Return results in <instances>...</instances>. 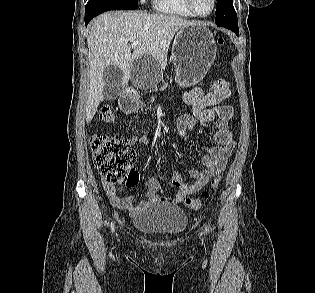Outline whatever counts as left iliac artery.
<instances>
[{
  "instance_id": "1",
  "label": "left iliac artery",
  "mask_w": 315,
  "mask_h": 293,
  "mask_svg": "<svg viewBox=\"0 0 315 293\" xmlns=\"http://www.w3.org/2000/svg\"><path fill=\"white\" fill-rule=\"evenodd\" d=\"M205 232H206V233H208V232H209V227H208V226H206V228H205Z\"/></svg>"
}]
</instances>
